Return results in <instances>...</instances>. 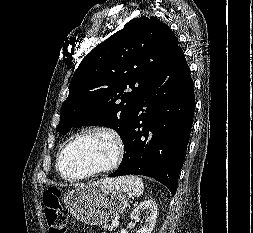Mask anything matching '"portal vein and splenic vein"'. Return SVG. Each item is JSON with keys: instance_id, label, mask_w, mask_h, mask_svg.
<instances>
[{"instance_id": "obj_1", "label": "portal vein and splenic vein", "mask_w": 253, "mask_h": 233, "mask_svg": "<svg viewBox=\"0 0 253 233\" xmlns=\"http://www.w3.org/2000/svg\"><path fill=\"white\" fill-rule=\"evenodd\" d=\"M118 225H119L118 220L112 221V226H113V227H117Z\"/></svg>"}]
</instances>
